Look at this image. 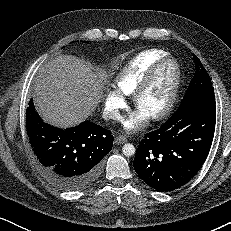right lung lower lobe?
<instances>
[{"mask_svg": "<svg viewBox=\"0 0 231 231\" xmlns=\"http://www.w3.org/2000/svg\"><path fill=\"white\" fill-rule=\"evenodd\" d=\"M26 127L43 175L68 192L85 188L99 177L103 157L113 146L111 131L93 122L64 130L43 122L32 99L26 110Z\"/></svg>", "mask_w": 231, "mask_h": 231, "instance_id": "98d812e1", "label": "right lung lower lobe"}]
</instances>
